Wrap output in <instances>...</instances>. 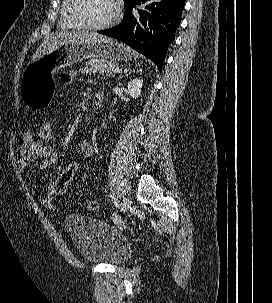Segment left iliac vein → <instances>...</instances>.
<instances>
[{"mask_svg":"<svg viewBox=\"0 0 272 303\" xmlns=\"http://www.w3.org/2000/svg\"><path fill=\"white\" fill-rule=\"evenodd\" d=\"M131 207V200L129 198H124L122 202L123 212H127Z\"/></svg>","mask_w":272,"mask_h":303,"instance_id":"1","label":"left iliac vein"}]
</instances>
